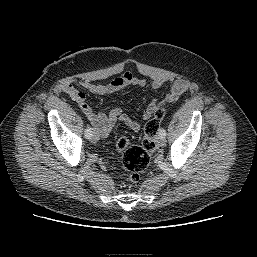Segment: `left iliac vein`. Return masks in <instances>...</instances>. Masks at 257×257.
<instances>
[{
  "instance_id": "left-iliac-vein-1",
  "label": "left iliac vein",
  "mask_w": 257,
  "mask_h": 257,
  "mask_svg": "<svg viewBox=\"0 0 257 257\" xmlns=\"http://www.w3.org/2000/svg\"><path fill=\"white\" fill-rule=\"evenodd\" d=\"M157 143H158L159 146H165V144H166V139H165V137L159 135V136L157 137Z\"/></svg>"
}]
</instances>
